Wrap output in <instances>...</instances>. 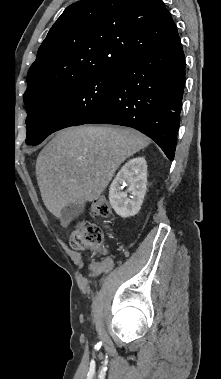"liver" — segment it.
<instances>
[{
	"mask_svg": "<svg viewBox=\"0 0 221 379\" xmlns=\"http://www.w3.org/2000/svg\"><path fill=\"white\" fill-rule=\"evenodd\" d=\"M131 128L80 126L59 131L41 150L36 175L42 200L57 218L70 203L92 202L118 167L150 144Z\"/></svg>",
	"mask_w": 221,
	"mask_h": 379,
	"instance_id": "liver-1",
	"label": "liver"
}]
</instances>
